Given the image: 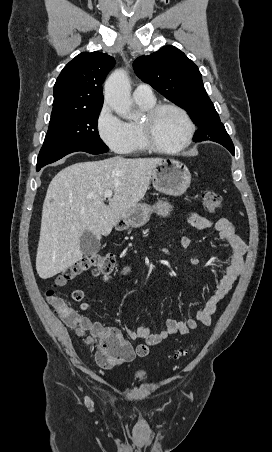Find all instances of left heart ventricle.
Instances as JSON below:
<instances>
[{"mask_svg":"<svg viewBox=\"0 0 272 452\" xmlns=\"http://www.w3.org/2000/svg\"><path fill=\"white\" fill-rule=\"evenodd\" d=\"M185 134V121L174 110H162L152 122V136L162 146L173 147L178 145L183 140Z\"/></svg>","mask_w":272,"mask_h":452,"instance_id":"obj_1","label":"left heart ventricle"}]
</instances>
